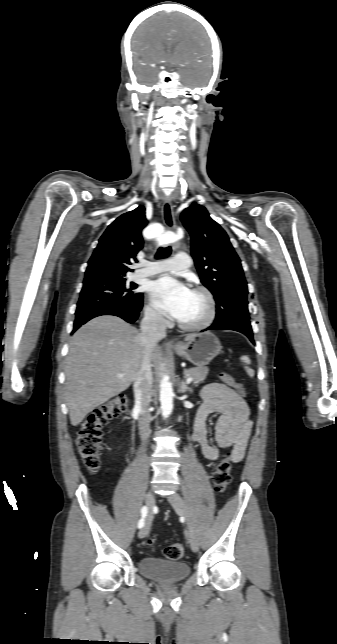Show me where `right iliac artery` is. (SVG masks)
<instances>
[{
  "mask_svg": "<svg viewBox=\"0 0 337 644\" xmlns=\"http://www.w3.org/2000/svg\"><path fill=\"white\" fill-rule=\"evenodd\" d=\"M148 508L143 506L141 509V519L138 522V528H142L145 524V517L147 516Z\"/></svg>",
  "mask_w": 337,
  "mask_h": 644,
  "instance_id": "obj_1",
  "label": "right iliac artery"
}]
</instances>
